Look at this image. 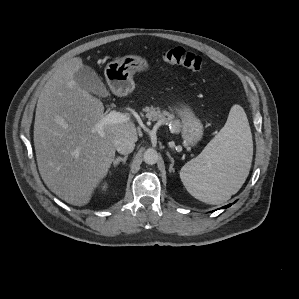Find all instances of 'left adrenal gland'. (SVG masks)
I'll return each instance as SVG.
<instances>
[{
	"instance_id": "left-adrenal-gland-1",
	"label": "left adrenal gland",
	"mask_w": 299,
	"mask_h": 299,
	"mask_svg": "<svg viewBox=\"0 0 299 299\" xmlns=\"http://www.w3.org/2000/svg\"><path fill=\"white\" fill-rule=\"evenodd\" d=\"M167 156L169 157V159L171 160V164L169 166V172H174L173 166H174V159L170 156L169 153H167Z\"/></svg>"
}]
</instances>
